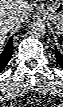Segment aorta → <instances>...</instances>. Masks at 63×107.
<instances>
[{"mask_svg":"<svg viewBox=\"0 0 63 107\" xmlns=\"http://www.w3.org/2000/svg\"><path fill=\"white\" fill-rule=\"evenodd\" d=\"M46 33L45 24L42 21L34 20L28 25V34L34 38H41Z\"/></svg>","mask_w":63,"mask_h":107,"instance_id":"aorta-1","label":"aorta"}]
</instances>
